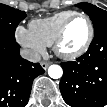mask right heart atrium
Segmentation results:
<instances>
[{"label": "right heart atrium", "mask_w": 107, "mask_h": 107, "mask_svg": "<svg viewBox=\"0 0 107 107\" xmlns=\"http://www.w3.org/2000/svg\"><path fill=\"white\" fill-rule=\"evenodd\" d=\"M17 41L34 56H39L45 53L46 46L38 40L30 29L19 26L16 29Z\"/></svg>", "instance_id": "1"}]
</instances>
